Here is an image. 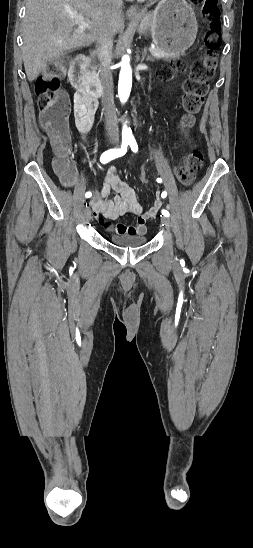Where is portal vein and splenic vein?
Listing matches in <instances>:
<instances>
[{"instance_id":"18ae733b","label":"portal vein and splenic vein","mask_w":253,"mask_h":548,"mask_svg":"<svg viewBox=\"0 0 253 548\" xmlns=\"http://www.w3.org/2000/svg\"><path fill=\"white\" fill-rule=\"evenodd\" d=\"M74 18L76 19L77 22H79V28L83 31L87 28H89V24L87 23V21L84 19V17L82 16H74ZM155 47L154 46H151L149 48L150 51L154 50Z\"/></svg>"}]
</instances>
